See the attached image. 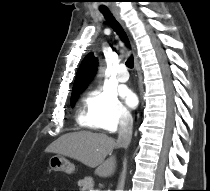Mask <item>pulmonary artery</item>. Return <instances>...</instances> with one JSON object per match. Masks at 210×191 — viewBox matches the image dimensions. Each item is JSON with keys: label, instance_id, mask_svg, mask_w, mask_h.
<instances>
[{"label": "pulmonary artery", "instance_id": "obj_1", "mask_svg": "<svg viewBox=\"0 0 210 191\" xmlns=\"http://www.w3.org/2000/svg\"><path fill=\"white\" fill-rule=\"evenodd\" d=\"M128 78H129V74H128V71L126 69V66L125 65H120L119 66V69H118V72H117V79L119 82H127L128 81Z\"/></svg>", "mask_w": 210, "mask_h": 191}]
</instances>
